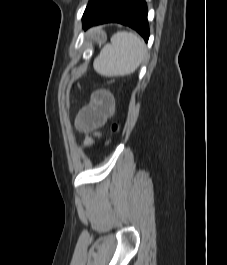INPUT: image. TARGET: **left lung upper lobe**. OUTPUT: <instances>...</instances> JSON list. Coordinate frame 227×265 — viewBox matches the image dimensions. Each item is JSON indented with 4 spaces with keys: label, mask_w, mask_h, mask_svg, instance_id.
<instances>
[{
    "label": "left lung upper lobe",
    "mask_w": 227,
    "mask_h": 265,
    "mask_svg": "<svg viewBox=\"0 0 227 265\" xmlns=\"http://www.w3.org/2000/svg\"><path fill=\"white\" fill-rule=\"evenodd\" d=\"M106 0H90L83 14V19L90 16L97 8H99Z\"/></svg>",
    "instance_id": "obj_1"
}]
</instances>
